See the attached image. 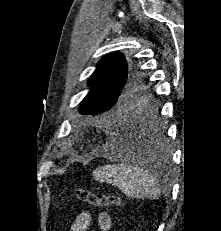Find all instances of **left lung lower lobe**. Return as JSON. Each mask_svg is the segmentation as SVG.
Masks as SVG:
<instances>
[{"instance_id": "obj_1", "label": "left lung lower lobe", "mask_w": 221, "mask_h": 231, "mask_svg": "<svg viewBox=\"0 0 221 231\" xmlns=\"http://www.w3.org/2000/svg\"><path fill=\"white\" fill-rule=\"evenodd\" d=\"M115 128L120 133L119 138L125 153L138 155L148 162L149 154L152 158H157L166 152L164 137L153 117L135 120L132 115L127 114L120 118Z\"/></svg>"}]
</instances>
